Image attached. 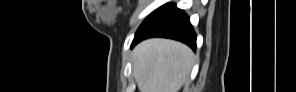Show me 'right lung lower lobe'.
<instances>
[{
	"instance_id": "98d812e1",
	"label": "right lung lower lobe",
	"mask_w": 296,
	"mask_h": 92,
	"mask_svg": "<svg viewBox=\"0 0 296 92\" xmlns=\"http://www.w3.org/2000/svg\"><path fill=\"white\" fill-rule=\"evenodd\" d=\"M156 36L176 39L196 49V34L189 17L173 3L161 6L142 23L131 47L143 39Z\"/></svg>"
}]
</instances>
